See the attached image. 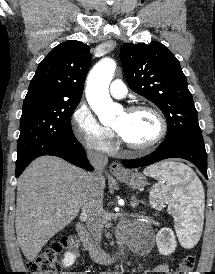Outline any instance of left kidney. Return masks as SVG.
<instances>
[{
	"mask_svg": "<svg viewBox=\"0 0 215 274\" xmlns=\"http://www.w3.org/2000/svg\"><path fill=\"white\" fill-rule=\"evenodd\" d=\"M156 244L160 254L170 255L177 246L174 232L170 228H162L156 234Z\"/></svg>",
	"mask_w": 215,
	"mask_h": 274,
	"instance_id": "5707ae66",
	"label": "left kidney"
}]
</instances>
